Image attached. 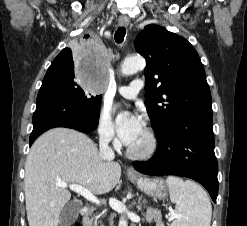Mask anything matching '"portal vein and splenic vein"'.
Here are the masks:
<instances>
[{"label":"portal vein and splenic vein","instance_id":"1","mask_svg":"<svg viewBox=\"0 0 247 226\" xmlns=\"http://www.w3.org/2000/svg\"><path fill=\"white\" fill-rule=\"evenodd\" d=\"M58 187L60 188H69L70 190L76 192L77 194L83 196L85 199H87L88 201L95 203V204H99V200L97 199V197L88 189H86L85 187H82L80 185L77 184H65V183H57L56 184ZM180 215L176 214V213H172L169 216V221L174 220L175 218H179Z\"/></svg>","mask_w":247,"mask_h":226}]
</instances>
